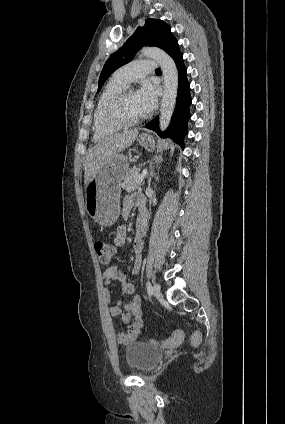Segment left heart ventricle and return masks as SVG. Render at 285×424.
<instances>
[{
  "mask_svg": "<svg viewBox=\"0 0 285 424\" xmlns=\"http://www.w3.org/2000/svg\"><path fill=\"white\" fill-rule=\"evenodd\" d=\"M121 113L128 120L137 119L145 115L134 92H131L126 96L121 107Z\"/></svg>",
  "mask_w": 285,
  "mask_h": 424,
  "instance_id": "1",
  "label": "left heart ventricle"
}]
</instances>
